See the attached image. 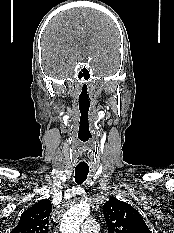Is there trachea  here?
Returning <instances> with one entry per match:
<instances>
[{"mask_svg":"<svg viewBox=\"0 0 174 233\" xmlns=\"http://www.w3.org/2000/svg\"><path fill=\"white\" fill-rule=\"evenodd\" d=\"M89 173V167H76L75 168V181L78 184H82Z\"/></svg>","mask_w":174,"mask_h":233,"instance_id":"trachea-1","label":"trachea"}]
</instances>
